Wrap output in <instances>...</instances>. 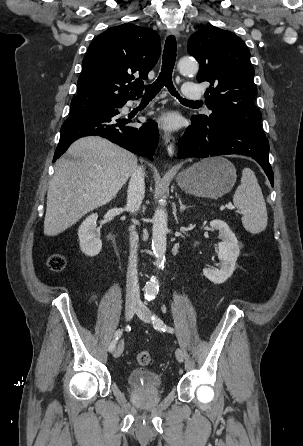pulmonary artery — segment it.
Returning <instances> with one entry per match:
<instances>
[{
    "label": "pulmonary artery",
    "mask_w": 303,
    "mask_h": 446,
    "mask_svg": "<svg viewBox=\"0 0 303 446\" xmlns=\"http://www.w3.org/2000/svg\"><path fill=\"white\" fill-rule=\"evenodd\" d=\"M183 94L184 97L189 100H199L202 97V93L199 86L193 83L184 84Z\"/></svg>",
    "instance_id": "pulmonary-artery-1"
}]
</instances>
